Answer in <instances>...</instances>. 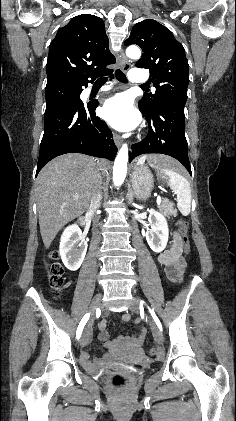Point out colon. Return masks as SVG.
<instances>
[{
  "label": "colon",
  "instance_id": "5ec220e1",
  "mask_svg": "<svg viewBox=\"0 0 236 421\" xmlns=\"http://www.w3.org/2000/svg\"><path fill=\"white\" fill-rule=\"evenodd\" d=\"M178 230L180 233V240L183 246V250L186 254H189L191 251L189 239H188V226L184 220L178 221ZM58 253L56 251L52 252L50 255L51 261L47 262L45 268L48 272L49 282L54 291L56 297H59L64 285V270L62 265L56 261ZM157 355V350L152 348L149 350V356L154 357ZM113 385L122 389L127 385V378L123 374H115L113 377Z\"/></svg>",
  "mask_w": 236,
  "mask_h": 421
}]
</instances>
